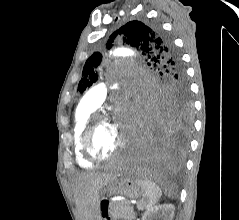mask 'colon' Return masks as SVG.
<instances>
[{
  "mask_svg": "<svg viewBox=\"0 0 239 220\" xmlns=\"http://www.w3.org/2000/svg\"><path fill=\"white\" fill-rule=\"evenodd\" d=\"M101 209H102L103 214H106L107 209H108V203L107 202L102 203Z\"/></svg>",
  "mask_w": 239,
  "mask_h": 220,
  "instance_id": "5ec220e1",
  "label": "colon"
}]
</instances>
